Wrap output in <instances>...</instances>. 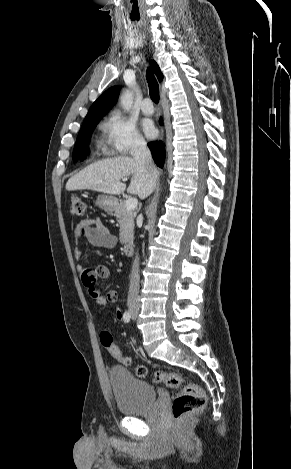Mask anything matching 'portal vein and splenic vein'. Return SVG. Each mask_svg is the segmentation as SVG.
Masks as SVG:
<instances>
[{
	"label": "portal vein and splenic vein",
	"mask_w": 291,
	"mask_h": 469,
	"mask_svg": "<svg viewBox=\"0 0 291 469\" xmlns=\"http://www.w3.org/2000/svg\"><path fill=\"white\" fill-rule=\"evenodd\" d=\"M127 179H123L126 181ZM138 200L136 198H130L126 201V208L127 210H134L137 207Z\"/></svg>",
	"instance_id": "obj_1"
}]
</instances>
